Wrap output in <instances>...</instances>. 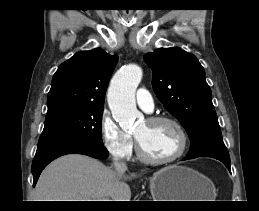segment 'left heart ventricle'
I'll return each instance as SVG.
<instances>
[{
  "label": "left heart ventricle",
  "instance_id": "b2bd125f",
  "mask_svg": "<svg viewBox=\"0 0 259 211\" xmlns=\"http://www.w3.org/2000/svg\"><path fill=\"white\" fill-rule=\"evenodd\" d=\"M145 153L154 158H165L173 155L179 147V136L176 129L168 124L141 123L136 131Z\"/></svg>",
  "mask_w": 259,
  "mask_h": 211
}]
</instances>
